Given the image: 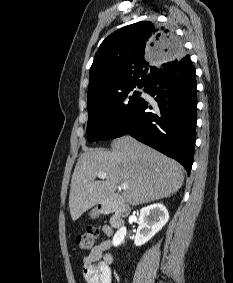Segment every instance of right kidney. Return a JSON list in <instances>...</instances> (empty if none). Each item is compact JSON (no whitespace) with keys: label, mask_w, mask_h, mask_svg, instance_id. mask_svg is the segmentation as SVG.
<instances>
[{"label":"right kidney","mask_w":233,"mask_h":283,"mask_svg":"<svg viewBox=\"0 0 233 283\" xmlns=\"http://www.w3.org/2000/svg\"><path fill=\"white\" fill-rule=\"evenodd\" d=\"M169 213L163 204H152L140 210L138 229L135 235L134 244L141 246L148 242L167 223ZM126 228L121 227L114 235L112 243L119 246L124 242Z\"/></svg>","instance_id":"obj_1"}]
</instances>
